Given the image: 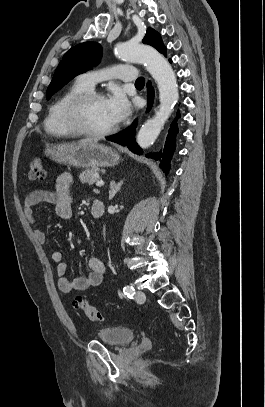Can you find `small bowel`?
<instances>
[{
  "mask_svg": "<svg viewBox=\"0 0 265 407\" xmlns=\"http://www.w3.org/2000/svg\"><path fill=\"white\" fill-rule=\"evenodd\" d=\"M73 184V176L70 173H61L56 179L55 190L48 191L36 189L30 192L24 201L23 212L29 224L34 229V234L37 240L45 244L47 242L46 233L36 227L37 221L33 213V207L42 202H48L55 205L56 215L68 220L72 217V199L70 188ZM51 259L56 263V273L59 277L58 287L63 293H71L75 291H83L89 287H96L102 283L105 266L102 260L98 258H90L88 260L89 274L87 276L69 279L66 277L68 265L63 259L60 251H54L51 254Z\"/></svg>",
  "mask_w": 265,
  "mask_h": 407,
  "instance_id": "c3829d8e",
  "label": "small bowel"
}]
</instances>
